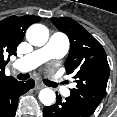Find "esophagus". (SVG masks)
Returning a JSON list of instances; mask_svg holds the SVG:
<instances>
[{"label":"esophagus","mask_w":117,"mask_h":117,"mask_svg":"<svg viewBox=\"0 0 117 117\" xmlns=\"http://www.w3.org/2000/svg\"><path fill=\"white\" fill-rule=\"evenodd\" d=\"M44 87V85L42 83H36L35 85V89L39 90V89H42Z\"/></svg>","instance_id":"1"}]
</instances>
